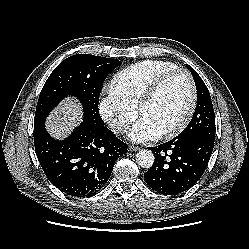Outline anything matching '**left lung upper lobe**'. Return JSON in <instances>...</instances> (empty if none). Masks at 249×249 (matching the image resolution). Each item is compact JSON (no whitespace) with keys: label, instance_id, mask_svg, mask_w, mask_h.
Returning <instances> with one entry per match:
<instances>
[{"label":"left lung upper lobe","instance_id":"left-lung-upper-lobe-1","mask_svg":"<svg viewBox=\"0 0 249 249\" xmlns=\"http://www.w3.org/2000/svg\"><path fill=\"white\" fill-rule=\"evenodd\" d=\"M197 88V106L188 126L177 136L179 138L202 135L215 139V114L210 93L199 74L187 64Z\"/></svg>","mask_w":249,"mask_h":249}]
</instances>
